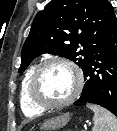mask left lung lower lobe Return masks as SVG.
Listing matches in <instances>:
<instances>
[{"mask_svg": "<svg viewBox=\"0 0 117 131\" xmlns=\"http://www.w3.org/2000/svg\"><path fill=\"white\" fill-rule=\"evenodd\" d=\"M85 85L74 103L100 105L117 116V18L112 11L102 44L85 67Z\"/></svg>", "mask_w": 117, "mask_h": 131, "instance_id": "left-lung-lower-lobe-1", "label": "left lung lower lobe"}]
</instances>
